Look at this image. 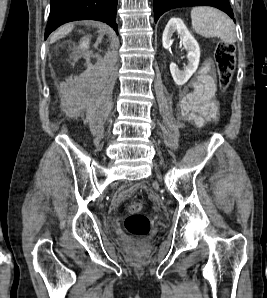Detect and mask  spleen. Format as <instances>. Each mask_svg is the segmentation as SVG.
<instances>
[{
	"mask_svg": "<svg viewBox=\"0 0 267 298\" xmlns=\"http://www.w3.org/2000/svg\"><path fill=\"white\" fill-rule=\"evenodd\" d=\"M194 31L206 38L218 37L223 42H236L235 25L228 15L212 7H194L191 10Z\"/></svg>",
	"mask_w": 267,
	"mask_h": 298,
	"instance_id": "obj_1",
	"label": "spleen"
}]
</instances>
